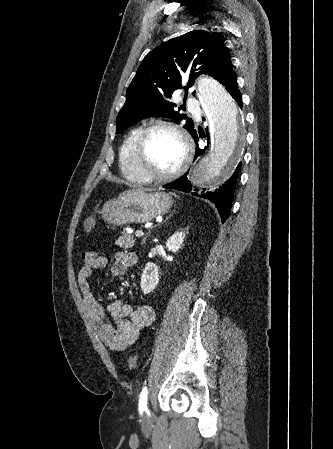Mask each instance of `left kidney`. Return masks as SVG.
<instances>
[{
    "label": "left kidney",
    "instance_id": "obj_1",
    "mask_svg": "<svg viewBox=\"0 0 333 449\" xmlns=\"http://www.w3.org/2000/svg\"><path fill=\"white\" fill-rule=\"evenodd\" d=\"M185 238L184 232H176L166 242L169 251L177 252L183 245ZM159 283L158 267L154 263H148L141 275V289L144 294H148L155 289Z\"/></svg>",
    "mask_w": 333,
    "mask_h": 449
}]
</instances>
